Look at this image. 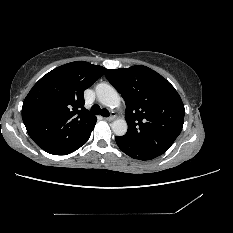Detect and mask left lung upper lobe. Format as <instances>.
Segmentation results:
<instances>
[{"mask_svg":"<svg viewBox=\"0 0 233 233\" xmlns=\"http://www.w3.org/2000/svg\"><path fill=\"white\" fill-rule=\"evenodd\" d=\"M106 77L126 103L123 139L145 151L165 153L180 134L185 109L175 88L143 66L106 70Z\"/></svg>","mask_w":233,"mask_h":233,"instance_id":"5c2ea615","label":"left lung upper lobe"}]
</instances>
